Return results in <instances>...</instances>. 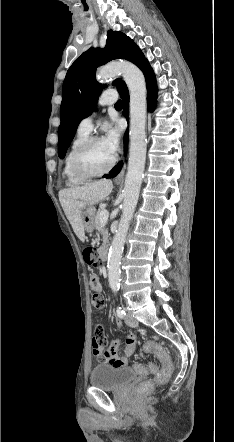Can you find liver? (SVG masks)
<instances>
[{"label":"liver","mask_w":234,"mask_h":442,"mask_svg":"<svg viewBox=\"0 0 234 442\" xmlns=\"http://www.w3.org/2000/svg\"><path fill=\"white\" fill-rule=\"evenodd\" d=\"M111 180L102 179L84 186H76L59 192V200L74 233L80 241H85L82 225V208L104 200L112 191Z\"/></svg>","instance_id":"1"}]
</instances>
